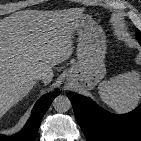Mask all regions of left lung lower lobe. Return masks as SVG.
<instances>
[{
    "label": "left lung lower lobe",
    "instance_id": "obj_1",
    "mask_svg": "<svg viewBox=\"0 0 141 141\" xmlns=\"http://www.w3.org/2000/svg\"><path fill=\"white\" fill-rule=\"evenodd\" d=\"M136 38L141 45V36ZM68 98L88 141H141V105L130 113L114 115L90 98L72 92Z\"/></svg>",
    "mask_w": 141,
    "mask_h": 141
}]
</instances>
